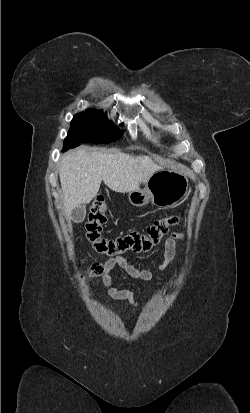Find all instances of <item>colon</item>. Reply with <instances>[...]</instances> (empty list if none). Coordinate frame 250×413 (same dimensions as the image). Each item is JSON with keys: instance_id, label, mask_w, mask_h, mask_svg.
<instances>
[{"instance_id": "colon-1", "label": "colon", "mask_w": 250, "mask_h": 413, "mask_svg": "<svg viewBox=\"0 0 250 413\" xmlns=\"http://www.w3.org/2000/svg\"><path fill=\"white\" fill-rule=\"evenodd\" d=\"M107 205L103 198H96L90 208L86 223V238L93 249L107 256L120 255L131 251L135 253L146 252L156 246L169 232V229L178 223L177 216L161 218L149 225L145 231H131L115 239L102 237V228L106 222ZM94 273H99L101 267L94 265Z\"/></svg>"}]
</instances>
